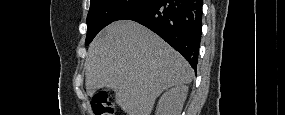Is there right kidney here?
Listing matches in <instances>:
<instances>
[{
	"label": "right kidney",
	"mask_w": 285,
	"mask_h": 115,
	"mask_svg": "<svg viewBox=\"0 0 285 115\" xmlns=\"http://www.w3.org/2000/svg\"><path fill=\"white\" fill-rule=\"evenodd\" d=\"M188 93V86H176L159 99L156 115H180Z\"/></svg>",
	"instance_id": "right-kidney-1"
}]
</instances>
